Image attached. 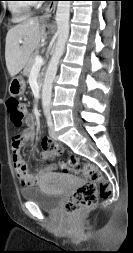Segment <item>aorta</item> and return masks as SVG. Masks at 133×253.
Wrapping results in <instances>:
<instances>
[{"label":"aorta","mask_w":133,"mask_h":253,"mask_svg":"<svg viewBox=\"0 0 133 253\" xmlns=\"http://www.w3.org/2000/svg\"><path fill=\"white\" fill-rule=\"evenodd\" d=\"M71 1H58L56 11V24H57V42L55 51L49 62L43 89H42V106L45 112L49 111L51 103L52 85L57 73L58 64L61 56L63 55L66 41L69 35V17H70Z\"/></svg>","instance_id":"1"}]
</instances>
